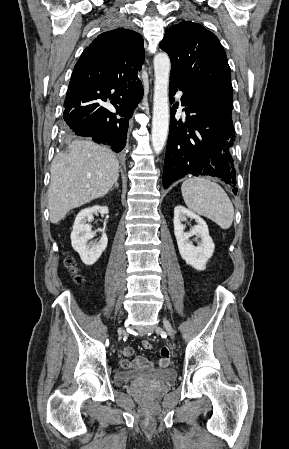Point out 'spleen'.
<instances>
[{
    "instance_id": "spleen-1",
    "label": "spleen",
    "mask_w": 289,
    "mask_h": 449,
    "mask_svg": "<svg viewBox=\"0 0 289 449\" xmlns=\"http://www.w3.org/2000/svg\"><path fill=\"white\" fill-rule=\"evenodd\" d=\"M186 206L228 229L234 219V207L223 188L206 177L186 179L181 186Z\"/></svg>"
}]
</instances>
